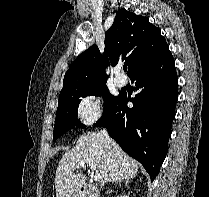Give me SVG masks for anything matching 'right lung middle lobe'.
Masks as SVG:
<instances>
[{
    "label": "right lung middle lobe",
    "mask_w": 209,
    "mask_h": 197,
    "mask_svg": "<svg viewBox=\"0 0 209 197\" xmlns=\"http://www.w3.org/2000/svg\"><path fill=\"white\" fill-rule=\"evenodd\" d=\"M89 95L103 96L104 111L118 98L108 93L106 82L95 84L74 85L61 90L56 112L53 140L59 138L66 131L74 128H84L85 125L77 119L80 98Z\"/></svg>",
    "instance_id": "right-lung-middle-lobe-1"
}]
</instances>
